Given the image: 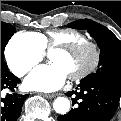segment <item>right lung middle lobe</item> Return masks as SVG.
Masks as SVG:
<instances>
[{
	"mask_svg": "<svg viewBox=\"0 0 121 121\" xmlns=\"http://www.w3.org/2000/svg\"><path fill=\"white\" fill-rule=\"evenodd\" d=\"M15 33L14 26L1 22V63H4V49L10 39V37Z\"/></svg>",
	"mask_w": 121,
	"mask_h": 121,
	"instance_id": "dd1d6c3e",
	"label": "right lung middle lobe"
}]
</instances>
